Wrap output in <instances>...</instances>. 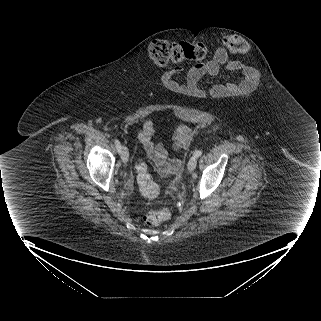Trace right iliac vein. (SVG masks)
<instances>
[{
	"label": "right iliac vein",
	"mask_w": 321,
	"mask_h": 321,
	"mask_svg": "<svg viewBox=\"0 0 321 321\" xmlns=\"http://www.w3.org/2000/svg\"><path fill=\"white\" fill-rule=\"evenodd\" d=\"M128 158H129L128 149H127L126 146H122V147H121V159H122V162H123L124 164L127 163Z\"/></svg>",
	"instance_id": "obj_1"
}]
</instances>
